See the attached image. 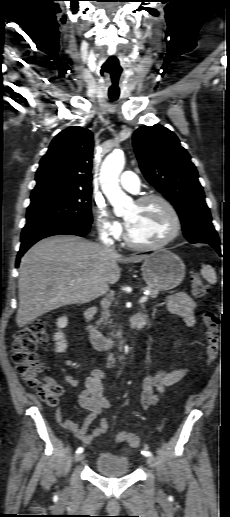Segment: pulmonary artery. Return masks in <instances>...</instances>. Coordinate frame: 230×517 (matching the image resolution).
<instances>
[{"instance_id":"e3ab8cb5","label":"pulmonary artery","mask_w":230,"mask_h":517,"mask_svg":"<svg viewBox=\"0 0 230 517\" xmlns=\"http://www.w3.org/2000/svg\"><path fill=\"white\" fill-rule=\"evenodd\" d=\"M121 186L132 193H138L140 190V182L137 175L132 171H125L120 177Z\"/></svg>"}]
</instances>
